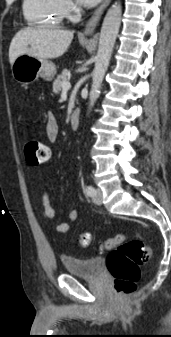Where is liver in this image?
I'll use <instances>...</instances> for the list:
<instances>
[{
	"label": "liver",
	"mask_w": 171,
	"mask_h": 337,
	"mask_svg": "<svg viewBox=\"0 0 171 337\" xmlns=\"http://www.w3.org/2000/svg\"><path fill=\"white\" fill-rule=\"evenodd\" d=\"M73 31L55 28H25L20 30L11 41L9 62L28 54L42 59H54L62 56L68 49Z\"/></svg>",
	"instance_id": "liver-1"
}]
</instances>
